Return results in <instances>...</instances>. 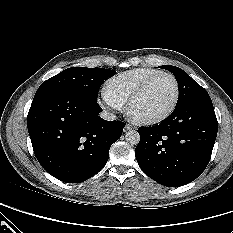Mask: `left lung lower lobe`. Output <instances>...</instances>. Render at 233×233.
Returning a JSON list of instances; mask_svg holds the SVG:
<instances>
[{
  "label": "left lung lower lobe",
  "mask_w": 233,
  "mask_h": 233,
  "mask_svg": "<svg viewBox=\"0 0 233 233\" xmlns=\"http://www.w3.org/2000/svg\"><path fill=\"white\" fill-rule=\"evenodd\" d=\"M217 127L210 96L197 95L176 105L159 125L138 129L137 162L145 174L164 186L188 184L208 165Z\"/></svg>",
  "instance_id": "0a47b994"
}]
</instances>
